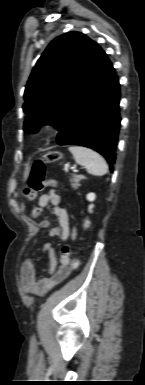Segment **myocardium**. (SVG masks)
Returning a JSON list of instances; mask_svg holds the SVG:
<instances>
[{
	"label": "myocardium",
	"instance_id": "f54148a6",
	"mask_svg": "<svg viewBox=\"0 0 145 385\" xmlns=\"http://www.w3.org/2000/svg\"><path fill=\"white\" fill-rule=\"evenodd\" d=\"M46 134V130H44V129H41V130H39L38 132H37V135L38 136H43V135H45Z\"/></svg>",
	"mask_w": 145,
	"mask_h": 385
}]
</instances>
